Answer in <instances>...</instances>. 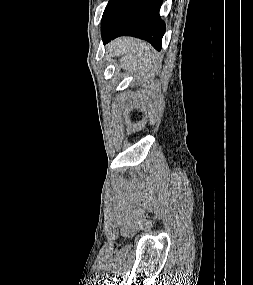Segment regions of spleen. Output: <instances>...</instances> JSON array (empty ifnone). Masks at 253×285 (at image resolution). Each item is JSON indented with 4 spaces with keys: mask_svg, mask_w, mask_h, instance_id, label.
I'll use <instances>...</instances> for the list:
<instances>
[{
    "mask_svg": "<svg viewBox=\"0 0 253 285\" xmlns=\"http://www.w3.org/2000/svg\"><path fill=\"white\" fill-rule=\"evenodd\" d=\"M115 48L124 52L120 59L119 68L128 73L141 72L152 67L158 60L152 47L132 38H122L115 43Z\"/></svg>",
    "mask_w": 253,
    "mask_h": 285,
    "instance_id": "1",
    "label": "spleen"
}]
</instances>
